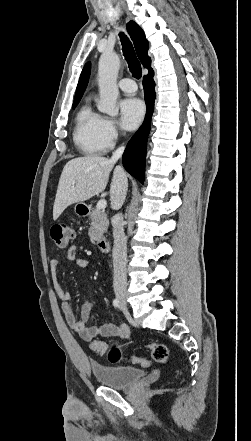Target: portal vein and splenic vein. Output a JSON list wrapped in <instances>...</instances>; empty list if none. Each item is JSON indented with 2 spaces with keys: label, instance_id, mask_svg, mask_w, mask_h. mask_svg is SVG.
I'll use <instances>...</instances> for the list:
<instances>
[{
  "label": "portal vein and splenic vein",
  "instance_id": "1",
  "mask_svg": "<svg viewBox=\"0 0 251 441\" xmlns=\"http://www.w3.org/2000/svg\"><path fill=\"white\" fill-rule=\"evenodd\" d=\"M106 206H107V202H106V200H100V201H98V203H97V209H99V210H104L105 208H106Z\"/></svg>",
  "mask_w": 251,
  "mask_h": 441
}]
</instances>
